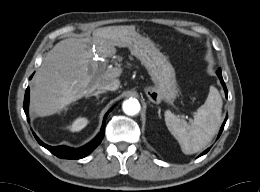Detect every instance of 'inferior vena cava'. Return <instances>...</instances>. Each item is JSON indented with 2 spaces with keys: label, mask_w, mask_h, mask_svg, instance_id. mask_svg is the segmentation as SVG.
<instances>
[{
  "label": "inferior vena cava",
  "mask_w": 260,
  "mask_h": 192,
  "mask_svg": "<svg viewBox=\"0 0 260 192\" xmlns=\"http://www.w3.org/2000/svg\"><path fill=\"white\" fill-rule=\"evenodd\" d=\"M120 81L118 79H113L106 83L105 85H102L99 90H108V91H115L119 88Z\"/></svg>",
  "instance_id": "1"
}]
</instances>
